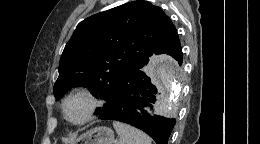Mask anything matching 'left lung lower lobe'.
<instances>
[{"label": "left lung lower lobe", "mask_w": 260, "mask_h": 144, "mask_svg": "<svg viewBox=\"0 0 260 144\" xmlns=\"http://www.w3.org/2000/svg\"><path fill=\"white\" fill-rule=\"evenodd\" d=\"M156 54H167L182 64V48L178 36ZM149 60L131 66L117 84L109 107L99 115L101 120H115L141 129L157 144H168L175 119L151 113L153 104L161 101V93L143 72Z\"/></svg>", "instance_id": "0a47b994"}]
</instances>
